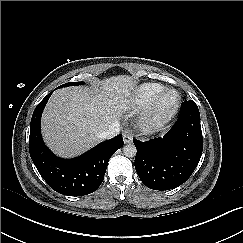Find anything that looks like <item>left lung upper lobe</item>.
<instances>
[{
  "instance_id": "5c2ea615",
  "label": "left lung upper lobe",
  "mask_w": 243,
  "mask_h": 243,
  "mask_svg": "<svg viewBox=\"0 0 243 243\" xmlns=\"http://www.w3.org/2000/svg\"><path fill=\"white\" fill-rule=\"evenodd\" d=\"M183 106H197L196 103L192 100H189V101H185L183 103Z\"/></svg>"
}]
</instances>
